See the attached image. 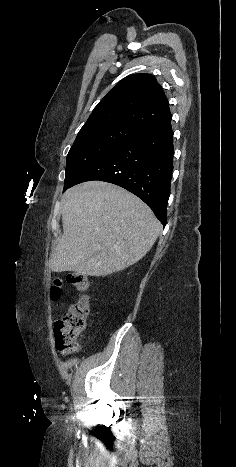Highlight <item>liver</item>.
I'll use <instances>...</instances> for the list:
<instances>
[{"instance_id":"1","label":"liver","mask_w":236,"mask_h":467,"mask_svg":"<svg viewBox=\"0 0 236 467\" xmlns=\"http://www.w3.org/2000/svg\"><path fill=\"white\" fill-rule=\"evenodd\" d=\"M63 235L49 266L107 276L141 260L162 226L137 196L114 184L90 181L67 190L61 200Z\"/></svg>"}]
</instances>
